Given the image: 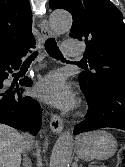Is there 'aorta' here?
I'll return each instance as SVG.
<instances>
[{
  "label": "aorta",
  "instance_id": "aorta-1",
  "mask_svg": "<svg viewBox=\"0 0 125 167\" xmlns=\"http://www.w3.org/2000/svg\"><path fill=\"white\" fill-rule=\"evenodd\" d=\"M50 26L56 33L69 31L72 17L65 11H54L49 18ZM73 137L64 132L57 140L52 150L49 167H69L72 156Z\"/></svg>",
  "mask_w": 125,
  "mask_h": 167
}]
</instances>
